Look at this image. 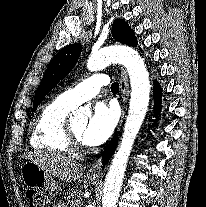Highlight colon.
I'll list each match as a JSON object with an SVG mask.
<instances>
[{"instance_id":"1","label":"colon","mask_w":206,"mask_h":207,"mask_svg":"<svg viewBox=\"0 0 206 207\" xmlns=\"http://www.w3.org/2000/svg\"><path fill=\"white\" fill-rule=\"evenodd\" d=\"M29 207H46V198L43 194L36 190H30L27 193Z\"/></svg>"}]
</instances>
